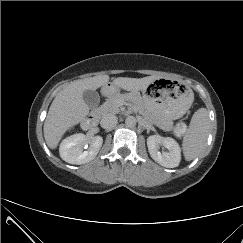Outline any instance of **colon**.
I'll list each match as a JSON object with an SVG mask.
<instances>
[{"label":"colon","mask_w":243,"mask_h":243,"mask_svg":"<svg viewBox=\"0 0 243 243\" xmlns=\"http://www.w3.org/2000/svg\"><path fill=\"white\" fill-rule=\"evenodd\" d=\"M173 131L176 135L181 136L185 133L186 131V125L182 121H178L174 124L173 126Z\"/></svg>","instance_id":"5ec220e1"}]
</instances>
